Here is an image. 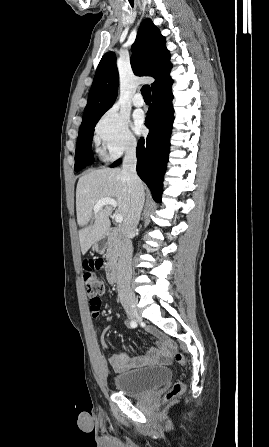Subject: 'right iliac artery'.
I'll use <instances>...</instances> for the list:
<instances>
[{"label": "right iliac artery", "mask_w": 269, "mask_h": 447, "mask_svg": "<svg viewBox=\"0 0 269 447\" xmlns=\"http://www.w3.org/2000/svg\"><path fill=\"white\" fill-rule=\"evenodd\" d=\"M130 325H131V327H136L137 326L135 321H131Z\"/></svg>", "instance_id": "right-iliac-artery-1"}]
</instances>
